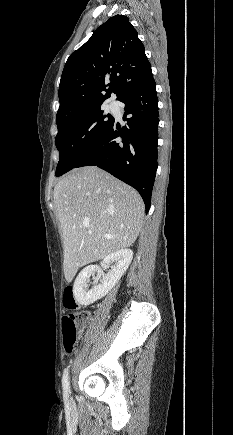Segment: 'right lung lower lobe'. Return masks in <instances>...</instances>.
Wrapping results in <instances>:
<instances>
[{
	"mask_svg": "<svg viewBox=\"0 0 233 435\" xmlns=\"http://www.w3.org/2000/svg\"><path fill=\"white\" fill-rule=\"evenodd\" d=\"M125 104L121 127L115 120L101 141L76 165L97 166L135 188L146 213L151 204L158 146V98L152 73L131 86L120 98ZM117 137L122 142L116 141Z\"/></svg>",
	"mask_w": 233,
	"mask_h": 435,
	"instance_id": "1",
	"label": "right lung lower lobe"
}]
</instances>
